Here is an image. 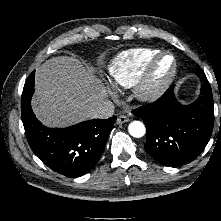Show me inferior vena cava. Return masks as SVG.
<instances>
[{
  "label": "inferior vena cava",
  "mask_w": 221,
  "mask_h": 221,
  "mask_svg": "<svg viewBox=\"0 0 221 221\" xmlns=\"http://www.w3.org/2000/svg\"><path fill=\"white\" fill-rule=\"evenodd\" d=\"M114 109V104L111 101H104L92 110L90 117L94 119H106L113 115Z\"/></svg>",
  "instance_id": "inferior-vena-cava-1"
}]
</instances>
